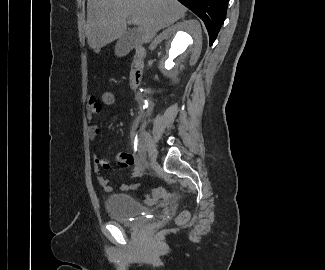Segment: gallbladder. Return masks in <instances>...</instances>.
I'll list each match as a JSON object with an SVG mask.
<instances>
[{"instance_id": "gallbladder-1", "label": "gallbladder", "mask_w": 325, "mask_h": 270, "mask_svg": "<svg viewBox=\"0 0 325 270\" xmlns=\"http://www.w3.org/2000/svg\"><path fill=\"white\" fill-rule=\"evenodd\" d=\"M139 42V32L136 30H128L119 38L115 47V53L118 56L126 55Z\"/></svg>"}]
</instances>
